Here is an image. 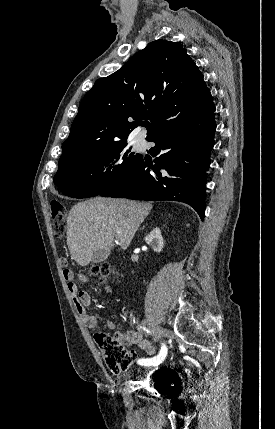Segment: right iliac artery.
Segmentation results:
<instances>
[{
	"label": "right iliac artery",
	"mask_w": 275,
	"mask_h": 429,
	"mask_svg": "<svg viewBox=\"0 0 275 429\" xmlns=\"http://www.w3.org/2000/svg\"><path fill=\"white\" fill-rule=\"evenodd\" d=\"M143 330H145L147 333H150V331L144 327H143ZM166 355H167V348L164 344H162L160 352L157 356L153 358L139 359L138 364L142 366H157L165 359Z\"/></svg>",
	"instance_id": "obj_1"
}]
</instances>
